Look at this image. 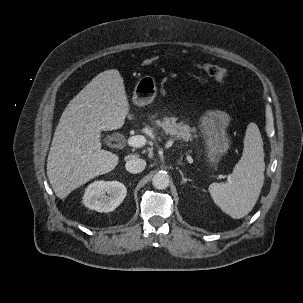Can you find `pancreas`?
Here are the masks:
<instances>
[{"label":"pancreas","instance_id":"obj_1","mask_svg":"<svg viewBox=\"0 0 303 303\" xmlns=\"http://www.w3.org/2000/svg\"><path fill=\"white\" fill-rule=\"evenodd\" d=\"M177 118L175 117H165L163 120H156L155 124L157 127L163 129L166 135L174 136L176 139H181L183 141H190L196 135H192L194 132L189 125L184 122L177 123Z\"/></svg>","mask_w":303,"mask_h":303}]
</instances>
